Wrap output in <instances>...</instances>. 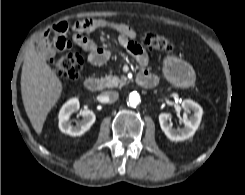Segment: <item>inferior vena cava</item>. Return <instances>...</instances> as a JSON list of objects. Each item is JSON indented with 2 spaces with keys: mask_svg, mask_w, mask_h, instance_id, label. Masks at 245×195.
<instances>
[{
  "mask_svg": "<svg viewBox=\"0 0 245 195\" xmlns=\"http://www.w3.org/2000/svg\"><path fill=\"white\" fill-rule=\"evenodd\" d=\"M103 96L105 97L107 102L113 103L118 99L119 93L116 91H108L105 92Z\"/></svg>",
  "mask_w": 245,
  "mask_h": 195,
  "instance_id": "602c4592",
  "label": "inferior vena cava"
}]
</instances>
